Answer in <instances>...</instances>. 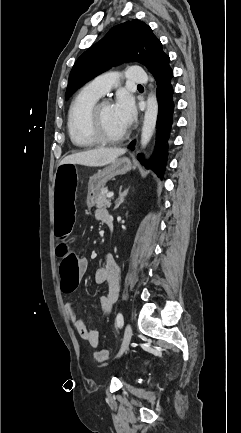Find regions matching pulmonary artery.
<instances>
[{"instance_id": "pulmonary-artery-1", "label": "pulmonary artery", "mask_w": 241, "mask_h": 433, "mask_svg": "<svg viewBox=\"0 0 241 433\" xmlns=\"http://www.w3.org/2000/svg\"><path fill=\"white\" fill-rule=\"evenodd\" d=\"M125 79L132 84H145L148 81L144 69L139 66L128 67L125 73ZM117 84V74L107 73L92 79L87 83L86 88L100 97Z\"/></svg>"}]
</instances>
